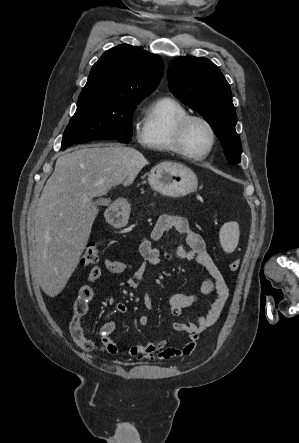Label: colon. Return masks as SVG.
<instances>
[{"instance_id":"colon-1","label":"colon","mask_w":299,"mask_h":443,"mask_svg":"<svg viewBox=\"0 0 299 443\" xmlns=\"http://www.w3.org/2000/svg\"><path fill=\"white\" fill-rule=\"evenodd\" d=\"M100 256V245L98 242H90L87 244L86 249L81 257L80 264L82 266H88L98 261ZM240 266V261L234 259L229 263V269L236 271Z\"/></svg>"}]
</instances>
